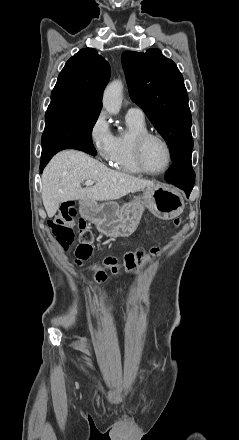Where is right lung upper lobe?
Segmentation results:
<instances>
[{
	"instance_id": "cb5924a9",
	"label": "right lung upper lobe",
	"mask_w": 239,
	"mask_h": 440,
	"mask_svg": "<svg viewBox=\"0 0 239 440\" xmlns=\"http://www.w3.org/2000/svg\"><path fill=\"white\" fill-rule=\"evenodd\" d=\"M110 74L109 63L94 48L81 49L59 74L49 106L100 112L102 93Z\"/></svg>"
}]
</instances>
